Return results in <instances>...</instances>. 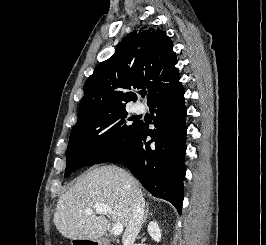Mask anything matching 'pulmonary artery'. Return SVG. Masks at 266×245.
<instances>
[{"instance_id": "e3ab8cb5", "label": "pulmonary artery", "mask_w": 266, "mask_h": 245, "mask_svg": "<svg viewBox=\"0 0 266 245\" xmlns=\"http://www.w3.org/2000/svg\"><path fill=\"white\" fill-rule=\"evenodd\" d=\"M142 110H143V106H142V105H136V106H135V111H136L137 113H140Z\"/></svg>"}]
</instances>
